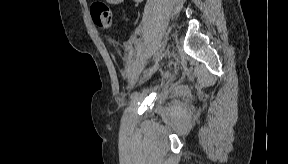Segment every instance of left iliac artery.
<instances>
[{"label": "left iliac artery", "instance_id": "44dca946", "mask_svg": "<svg viewBox=\"0 0 288 164\" xmlns=\"http://www.w3.org/2000/svg\"><path fill=\"white\" fill-rule=\"evenodd\" d=\"M138 62H139V60L134 61V63H133L134 67L137 66Z\"/></svg>", "mask_w": 288, "mask_h": 164}]
</instances>
